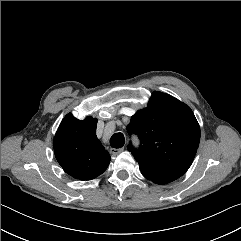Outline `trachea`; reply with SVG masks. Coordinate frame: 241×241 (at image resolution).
<instances>
[{"mask_svg": "<svg viewBox=\"0 0 241 241\" xmlns=\"http://www.w3.org/2000/svg\"><path fill=\"white\" fill-rule=\"evenodd\" d=\"M125 143L124 135L122 133H115L110 139V145L113 148H121Z\"/></svg>", "mask_w": 241, "mask_h": 241, "instance_id": "3493384b", "label": "trachea"}]
</instances>
